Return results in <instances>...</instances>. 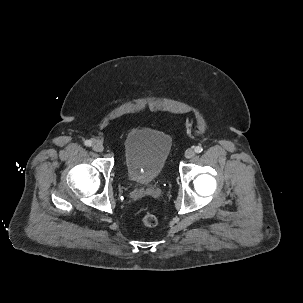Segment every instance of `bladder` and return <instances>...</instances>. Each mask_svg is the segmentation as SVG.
I'll use <instances>...</instances> for the list:
<instances>
[{"label":"bladder","mask_w":303,"mask_h":303,"mask_svg":"<svg viewBox=\"0 0 303 303\" xmlns=\"http://www.w3.org/2000/svg\"><path fill=\"white\" fill-rule=\"evenodd\" d=\"M172 148L169 134L137 127L124 139L123 155L128 179L137 185H150L161 175Z\"/></svg>","instance_id":"31cf9c89"}]
</instances>
